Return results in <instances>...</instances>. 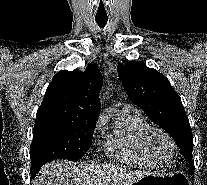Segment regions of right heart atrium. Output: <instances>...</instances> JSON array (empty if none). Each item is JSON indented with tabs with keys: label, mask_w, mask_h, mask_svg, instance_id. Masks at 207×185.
<instances>
[{
	"label": "right heart atrium",
	"mask_w": 207,
	"mask_h": 185,
	"mask_svg": "<svg viewBox=\"0 0 207 185\" xmlns=\"http://www.w3.org/2000/svg\"><path fill=\"white\" fill-rule=\"evenodd\" d=\"M108 120H109V114L106 113V112L101 113L100 116L97 119L96 127L97 128L103 127L104 125H106Z\"/></svg>",
	"instance_id": "d8ad5b80"
}]
</instances>
